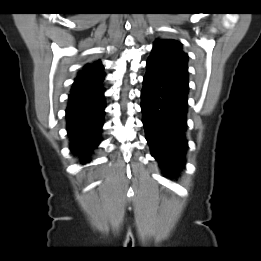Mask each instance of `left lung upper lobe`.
Returning a JSON list of instances; mask_svg holds the SVG:
<instances>
[{
  "mask_svg": "<svg viewBox=\"0 0 261 261\" xmlns=\"http://www.w3.org/2000/svg\"><path fill=\"white\" fill-rule=\"evenodd\" d=\"M148 61L159 66L188 74V55L182 51L181 43L172 39L157 40Z\"/></svg>",
  "mask_w": 261,
  "mask_h": 261,
  "instance_id": "5c2ea615",
  "label": "left lung upper lobe"
}]
</instances>
